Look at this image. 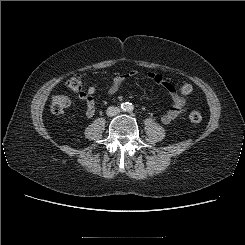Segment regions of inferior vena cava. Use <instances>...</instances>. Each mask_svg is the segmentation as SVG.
Wrapping results in <instances>:
<instances>
[{"instance_id": "inferior-vena-cava-1", "label": "inferior vena cava", "mask_w": 245, "mask_h": 245, "mask_svg": "<svg viewBox=\"0 0 245 245\" xmlns=\"http://www.w3.org/2000/svg\"><path fill=\"white\" fill-rule=\"evenodd\" d=\"M120 113V109L118 107L110 106L106 110V114L110 117L116 116Z\"/></svg>"}]
</instances>
